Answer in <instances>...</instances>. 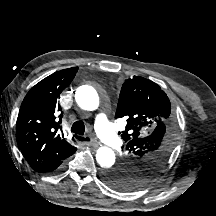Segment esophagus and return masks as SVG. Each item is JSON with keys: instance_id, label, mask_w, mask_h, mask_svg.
Listing matches in <instances>:
<instances>
[{"instance_id": "esophagus-1", "label": "esophagus", "mask_w": 216, "mask_h": 216, "mask_svg": "<svg viewBox=\"0 0 216 216\" xmlns=\"http://www.w3.org/2000/svg\"><path fill=\"white\" fill-rule=\"evenodd\" d=\"M75 140L77 142H84V143L89 144V145L98 146V142L91 137H83V136L78 135L75 137ZM81 140H83V141H81Z\"/></svg>"}]
</instances>
